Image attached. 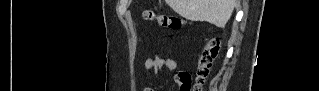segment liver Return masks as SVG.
I'll return each instance as SVG.
<instances>
[{"label":"liver","mask_w":319,"mask_h":91,"mask_svg":"<svg viewBox=\"0 0 319 91\" xmlns=\"http://www.w3.org/2000/svg\"><path fill=\"white\" fill-rule=\"evenodd\" d=\"M180 16L191 21H205L219 28L225 27L237 0H166Z\"/></svg>","instance_id":"liver-1"}]
</instances>
